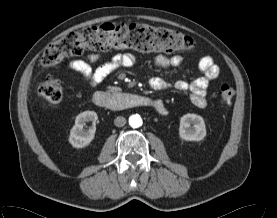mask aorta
<instances>
[{
  "label": "aorta",
  "instance_id": "aorta-1",
  "mask_svg": "<svg viewBox=\"0 0 277 218\" xmlns=\"http://www.w3.org/2000/svg\"><path fill=\"white\" fill-rule=\"evenodd\" d=\"M142 119L140 117V115L138 114H135V115H132L129 117V125L132 127V128H138L142 125Z\"/></svg>",
  "mask_w": 277,
  "mask_h": 218
}]
</instances>
